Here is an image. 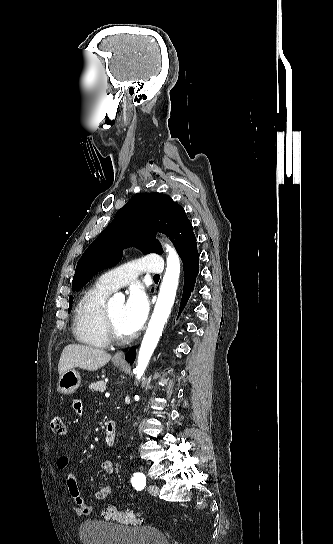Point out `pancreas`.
Instances as JSON below:
<instances>
[{"label": "pancreas", "mask_w": 333, "mask_h": 544, "mask_svg": "<svg viewBox=\"0 0 333 544\" xmlns=\"http://www.w3.org/2000/svg\"><path fill=\"white\" fill-rule=\"evenodd\" d=\"M89 389L98 392H104L106 390V383L104 381L93 382L89 385Z\"/></svg>", "instance_id": "pancreas-1"}]
</instances>
